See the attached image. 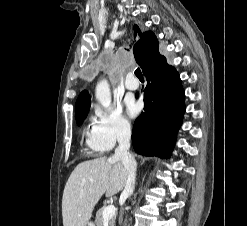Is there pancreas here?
<instances>
[{
  "label": "pancreas",
  "mask_w": 247,
  "mask_h": 226,
  "mask_svg": "<svg viewBox=\"0 0 247 226\" xmlns=\"http://www.w3.org/2000/svg\"><path fill=\"white\" fill-rule=\"evenodd\" d=\"M105 206H103L102 208H100L97 212H96V218H95V222L97 226H103L104 223V219H103V211L105 210ZM115 220H116V216L114 215L110 220H109V226H115Z\"/></svg>",
  "instance_id": "obj_1"
}]
</instances>
